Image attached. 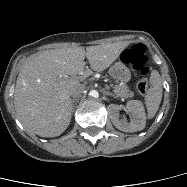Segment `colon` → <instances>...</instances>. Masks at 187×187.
I'll list each match as a JSON object with an SVG mask.
<instances>
[{
    "label": "colon",
    "mask_w": 187,
    "mask_h": 187,
    "mask_svg": "<svg viewBox=\"0 0 187 187\" xmlns=\"http://www.w3.org/2000/svg\"><path fill=\"white\" fill-rule=\"evenodd\" d=\"M123 62L130 64L136 70L137 82L136 89L140 94H144L148 87L147 75L148 68V55L145 46L142 44H135L131 48L125 50L122 54Z\"/></svg>",
    "instance_id": "5ec220e1"
}]
</instances>
